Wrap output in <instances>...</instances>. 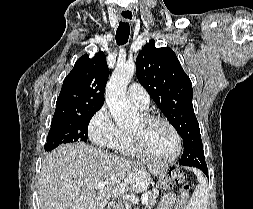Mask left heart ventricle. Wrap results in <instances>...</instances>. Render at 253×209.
I'll return each instance as SVG.
<instances>
[{
    "instance_id": "b2bd125f",
    "label": "left heart ventricle",
    "mask_w": 253,
    "mask_h": 209,
    "mask_svg": "<svg viewBox=\"0 0 253 209\" xmlns=\"http://www.w3.org/2000/svg\"><path fill=\"white\" fill-rule=\"evenodd\" d=\"M131 131L143 135L144 147L152 156L159 159L169 158L176 150V139L172 130L163 122L144 124L141 117Z\"/></svg>"
}]
</instances>
